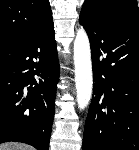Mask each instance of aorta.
<instances>
[{"label":"aorta","instance_id":"762f6f07","mask_svg":"<svg viewBox=\"0 0 139 150\" xmlns=\"http://www.w3.org/2000/svg\"><path fill=\"white\" fill-rule=\"evenodd\" d=\"M74 65L77 103L80 110L85 109L92 96L93 75L89 38L83 28H79L74 40Z\"/></svg>","mask_w":139,"mask_h":150}]
</instances>
